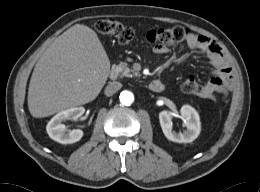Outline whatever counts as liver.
Wrapping results in <instances>:
<instances>
[{
    "mask_svg": "<svg viewBox=\"0 0 260 192\" xmlns=\"http://www.w3.org/2000/svg\"><path fill=\"white\" fill-rule=\"evenodd\" d=\"M110 60L96 32L76 24L54 40L34 67L28 108L35 118L94 100L104 87Z\"/></svg>",
    "mask_w": 260,
    "mask_h": 192,
    "instance_id": "obj_1",
    "label": "liver"
}]
</instances>
